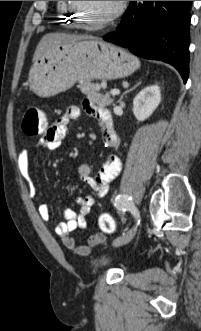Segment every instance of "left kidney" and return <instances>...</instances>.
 Listing matches in <instances>:
<instances>
[{"mask_svg": "<svg viewBox=\"0 0 201 331\" xmlns=\"http://www.w3.org/2000/svg\"><path fill=\"white\" fill-rule=\"evenodd\" d=\"M161 101L160 87L152 85L140 91L133 100V113L138 121H144L152 115Z\"/></svg>", "mask_w": 201, "mask_h": 331, "instance_id": "obj_1", "label": "left kidney"}]
</instances>
